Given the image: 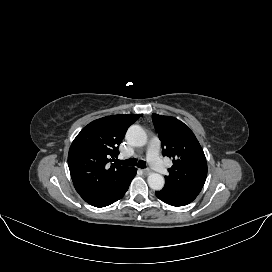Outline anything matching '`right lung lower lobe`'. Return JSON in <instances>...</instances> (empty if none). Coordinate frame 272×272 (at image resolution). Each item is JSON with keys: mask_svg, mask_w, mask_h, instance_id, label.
Segmentation results:
<instances>
[{"mask_svg": "<svg viewBox=\"0 0 272 272\" xmlns=\"http://www.w3.org/2000/svg\"><path fill=\"white\" fill-rule=\"evenodd\" d=\"M135 174L136 169L132 168L131 171L123 174L120 180L115 182L106 191L86 202L95 207H105L116 202L124 196Z\"/></svg>", "mask_w": 272, "mask_h": 272, "instance_id": "right-lung-lower-lobe-1", "label": "right lung lower lobe"}]
</instances>
